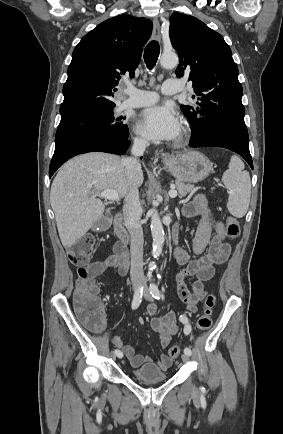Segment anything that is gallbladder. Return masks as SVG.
<instances>
[{
    "mask_svg": "<svg viewBox=\"0 0 283 434\" xmlns=\"http://www.w3.org/2000/svg\"><path fill=\"white\" fill-rule=\"evenodd\" d=\"M110 225H111L110 216H104L94 222V224L92 225V230L105 231L110 227Z\"/></svg>",
    "mask_w": 283,
    "mask_h": 434,
    "instance_id": "obj_1",
    "label": "gallbladder"
}]
</instances>
